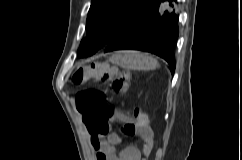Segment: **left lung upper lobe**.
I'll list each match as a JSON object with an SVG mask.
<instances>
[{
  "mask_svg": "<svg viewBox=\"0 0 242 160\" xmlns=\"http://www.w3.org/2000/svg\"><path fill=\"white\" fill-rule=\"evenodd\" d=\"M152 0H92L86 22L87 37L78 57H87L105 47L131 25Z\"/></svg>",
  "mask_w": 242,
  "mask_h": 160,
  "instance_id": "1",
  "label": "left lung upper lobe"
}]
</instances>
